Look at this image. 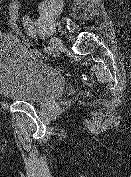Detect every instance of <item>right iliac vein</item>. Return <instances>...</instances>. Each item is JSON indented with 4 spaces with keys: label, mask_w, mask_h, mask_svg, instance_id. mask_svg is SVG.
I'll list each match as a JSON object with an SVG mask.
<instances>
[{
    "label": "right iliac vein",
    "mask_w": 131,
    "mask_h": 177,
    "mask_svg": "<svg viewBox=\"0 0 131 177\" xmlns=\"http://www.w3.org/2000/svg\"><path fill=\"white\" fill-rule=\"evenodd\" d=\"M50 43H51L52 47L56 50H61L64 48L62 41L57 37H52L50 39Z\"/></svg>",
    "instance_id": "63e3f726"
}]
</instances>
